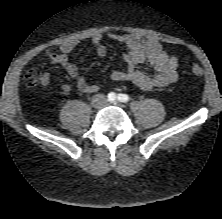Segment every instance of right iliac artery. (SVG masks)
<instances>
[{"instance_id":"right-iliac-artery-1","label":"right iliac artery","mask_w":222,"mask_h":219,"mask_svg":"<svg viewBox=\"0 0 222 219\" xmlns=\"http://www.w3.org/2000/svg\"><path fill=\"white\" fill-rule=\"evenodd\" d=\"M116 99V94L111 92L108 94V100L109 101H114Z\"/></svg>"}]
</instances>
